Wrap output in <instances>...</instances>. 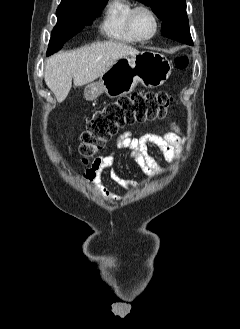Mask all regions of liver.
<instances>
[{"label": "liver", "mask_w": 240, "mask_h": 329, "mask_svg": "<svg viewBox=\"0 0 240 329\" xmlns=\"http://www.w3.org/2000/svg\"><path fill=\"white\" fill-rule=\"evenodd\" d=\"M138 53L139 51L132 46L114 41L59 52L46 61L45 83L61 103L71 90L72 79L75 86L91 83L102 76L118 59Z\"/></svg>", "instance_id": "6515ba94"}]
</instances>
